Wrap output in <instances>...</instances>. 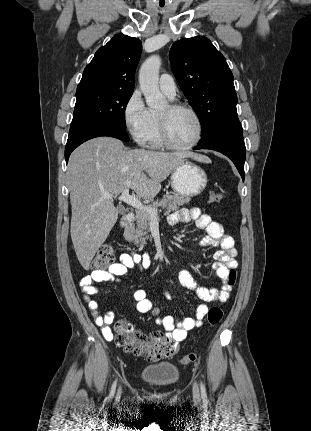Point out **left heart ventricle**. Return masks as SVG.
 I'll use <instances>...</instances> for the list:
<instances>
[{
	"label": "left heart ventricle",
	"instance_id": "1",
	"mask_svg": "<svg viewBox=\"0 0 311 431\" xmlns=\"http://www.w3.org/2000/svg\"><path fill=\"white\" fill-rule=\"evenodd\" d=\"M159 114L169 115V106ZM169 127L172 139L180 145H187L195 141L199 133L196 117L188 111H179L169 117Z\"/></svg>",
	"mask_w": 311,
	"mask_h": 431
}]
</instances>
